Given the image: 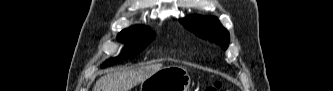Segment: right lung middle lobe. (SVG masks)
<instances>
[{"mask_svg":"<svg viewBox=\"0 0 333 91\" xmlns=\"http://www.w3.org/2000/svg\"><path fill=\"white\" fill-rule=\"evenodd\" d=\"M118 39L127 44L124 53L118 58L106 61L103 67L116 63L121 58H130L138 55L154 39V35L151 31L139 25L121 31Z\"/></svg>","mask_w":333,"mask_h":91,"instance_id":"right-lung-middle-lobe-1","label":"right lung middle lobe"}]
</instances>
